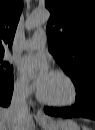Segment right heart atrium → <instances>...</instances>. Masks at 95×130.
I'll return each instance as SVG.
<instances>
[{
  "instance_id": "d8ad5b80",
  "label": "right heart atrium",
  "mask_w": 95,
  "mask_h": 130,
  "mask_svg": "<svg viewBox=\"0 0 95 130\" xmlns=\"http://www.w3.org/2000/svg\"><path fill=\"white\" fill-rule=\"evenodd\" d=\"M13 90L16 95L21 97H29L33 92L32 86L20 75H17L14 79Z\"/></svg>"
}]
</instances>
